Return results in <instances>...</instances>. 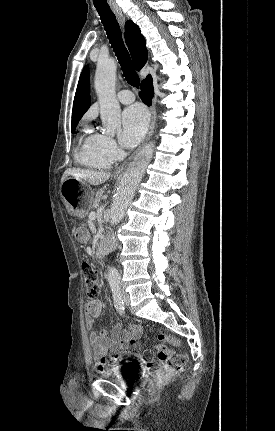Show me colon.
<instances>
[{
  "label": "colon",
  "mask_w": 275,
  "mask_h": 431,
  "mask_svg": "<svg viewBox=\"0 0 275 431\" xmlns=\"http://www.w3.org/2000/svg\"><path fill=\"white\" fill-rule=\"evenodd\" d=\"M82 270L86 282L88 292L91 296H95L100 291V275L98 269L91 263H83ZM158 339L167 341L173 345H179L180 342L169 335L161 333ZM127 346L131 352L138 354L141 359L146 363L147 369L155 373L154 379L150 387L152 389L161 387L170 376L177 371L185 368L187 364V357L184 354L176 353L168 347L159 346L158 360L154 358L153 352L145 348L136 338L130 337L127 341ZM115 356L101 355L97 358L98 368L105 370L115 361ZM159 362H164V366H160Z\"/></svg>",
  "instance_id": "5ec220e1"
}]
</instances>
